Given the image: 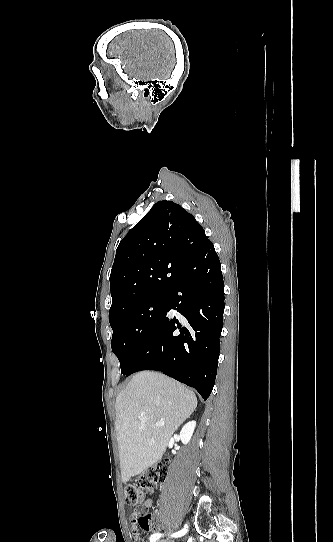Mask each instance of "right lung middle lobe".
I'll return each mask as SVG.
<instances>
[{
    "instance_id": "obj_1",
    "label": "right lung middle lobe",
    "mask_w": 333,
    "mask_h": 542,
    "mask_svg": "<svg viewBox=\"0 0 333 542\" xmlns=\"http://www.w3.org/2000/svg\"><path fill=\"white\" fill-rule=\"evenodd\" d=\"M168 311V295L132 306L109 319L113 329L111 347L126 375L158 323Z\"/></svg>"
}]
</instances>
